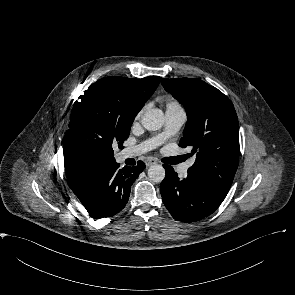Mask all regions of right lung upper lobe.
Masks as SVG:
<instances>
[{
	"instance_id": "1",
	"label": "right lung upper lobe",
	"mask_w": 295,
	"mask_h": 295,
	"mask_svg": "<svg viewBox=\"0 0 295 295\" xmlns=\"http://www.w3.org/2000/svg\"><path fill=\"white\" fill-rule=\"evenodd\" d=\"M138 96L145 103L157 88L161 77L149 76L143 79L130 78ZM64 164L69 186L93 163L88 156L74 144L67 135L63 139Z\"/></svg>"
}]
</instances>
